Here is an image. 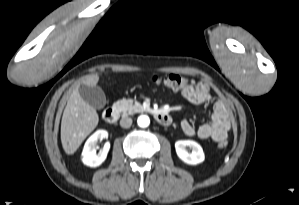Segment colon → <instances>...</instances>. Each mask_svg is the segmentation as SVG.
I'll use <instances>...</instances> for the list:
<instances>
[{
  "label": "colon",
  "instance_id": "obj_1",
  "mask_svg": "<svg viewBox=\"0 0 299 205\" xmlns=\"http://www.w3.org/2000/svg\"><path fill=\"white\" fill-rule=\"evenodd\" d=\"M151 82L158 86L174 91H182L190 88L195 84V81L180 74H169L165 76L155 75L151 77ZM228 145L226 139L218 142L219 148H225Z\"/></svg>",
  "mask_w": 299,
  "mask_h": 205
}]
</instances>
